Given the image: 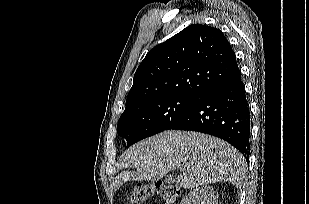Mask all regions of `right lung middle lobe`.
Instances as JSON below:
<instances>
[{
  "label": "right lung middle lobe",
  "mask_w": 309,
  "mask_h": 204,
  "mask_svg": "<svg viewBox=\"0 0 309 204\" xmlns=\"http://www.w3.org/2000/svg\"><path fill=\"white\" fill-rule=\"evenodd\" d=\"M198 100V96L192 95H163L126 105L118 121V135L125 138L127 146H130L160 133Z\"/></svg>",
  "instance_id": "obj_1"
}]
</instances>
